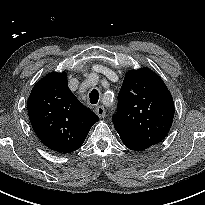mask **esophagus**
<instances>
[{"mask_svg":"<svg viewBox=\"0 0 205 205\" xmlns=\"http://www.w3.org/2000/svg\"><path fill=\"white\" fill-rule=\"evenodd\" d=\"M95 111L100 118H104L106 115L105 108L102 105L96 106Z\"/></svg>","mask_w":205,"mask_h":205,"instance_id":"34e87169","label":"esophagus"}]
</instances>
